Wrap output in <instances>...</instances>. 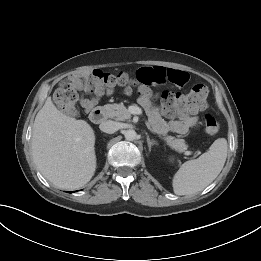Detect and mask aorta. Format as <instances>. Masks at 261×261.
I'll return each instance as SVG.
<instances>
[{"label":"aorta","instance_id":"aorta-1","mask_svg":"<svg viewBox=\"0 0 261 261\" xmlns=\"http://www.w3.org/2000/svg\"><path fill=\"white\" fill-rule=\"evenodd\" d=\"M124 137L128 141H133L137 139V133L135 130L129 129L124 132Z\"/></svg>","mask_w":261,"mask_h":261}]
</instances>
